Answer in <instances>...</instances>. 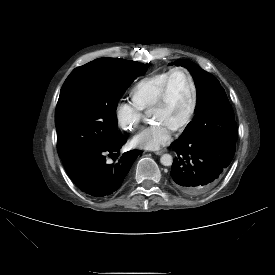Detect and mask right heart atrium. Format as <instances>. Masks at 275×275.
Wrapping results in <instances>:
<instances>
[{
  "mask_svg": "<svg viewBox=\"0 0 275 275\" xmlns=\"http://www.w3.org/2000/svg\"><path fill=\"white\" fill-rule=\"evenodd\" d=\"M114 117L120 128L131 132L140 124L143 118V110L133 102L119 100L114 109Z\"/></svg>",
  "mask_w": 275,
  "mask_h": 275,
  "instance_id": "d8ad5b80",
  "label": "right heart atrium"
}]
</instances>
